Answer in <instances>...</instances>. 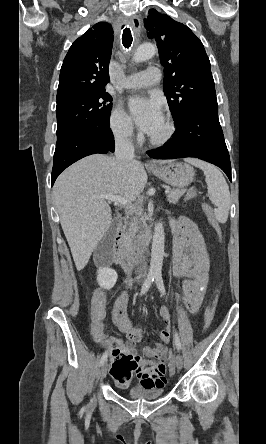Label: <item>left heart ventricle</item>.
Here are the masks:
<instances>
[{
  "mask_svg": "<svg viewBox=\"0 0 266 444\" xmlns=\"http://www.w3.org/2000/svg\"><path fill=\"white\" fill-rule=\"evenodd\" d=\"M165 131H166V123L165 121H163L162 124L150 136L158 138L164 135Z\"/></svg>",
  "mask_w": 266,
  "mask_h": 444,
  "instance_id": "b2bd125f",
  "label": "left heart ventricle"
}]
</instances>
